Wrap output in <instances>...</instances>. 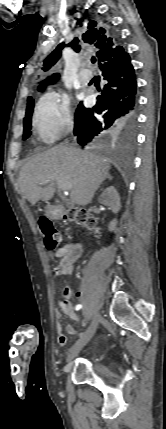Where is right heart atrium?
Wrapping results in <instances>:
<instances>
[{"label": "right heart atrium", "instance_id": "d8ad5b80", "mask_svg": "<svg viewBox=\"0 0 166 429\" xmlns=\"http://www.w3.org/2000/svg\"><path fill=\"white\" fill-rule=\"evenodd\" d=\"M72 124L70 101L64 93L55 90L41 97L34 110L33 125L42 141H56Z\"/></svg>", "mask_w": 166, "mask_h": 429}]
</instances>
